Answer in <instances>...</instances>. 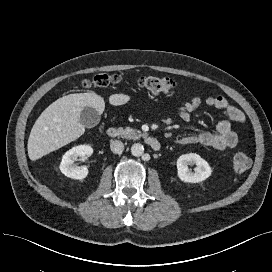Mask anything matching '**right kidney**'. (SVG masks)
Here are the masks:
<instances>
[{
    "label": "right kidney",
    "instance_id": "obj_1",
    "mask_svg": "<svg viewBox=\"0 0 272 272\" xmlns=\"http://www.w3.org/2000/svg\"><path fill=\"white\" fill-rule=\"evenodd\" d=\"M93 149L89 145L75 146L67 151L60 163V171L67 177L72 179H84L88 175V169L86 166H77L74 164L78 160V157L91 156Z\"/></svg>",
    "mask_w": 272,
    "mask_h": 272
}]
</instances>
